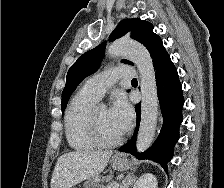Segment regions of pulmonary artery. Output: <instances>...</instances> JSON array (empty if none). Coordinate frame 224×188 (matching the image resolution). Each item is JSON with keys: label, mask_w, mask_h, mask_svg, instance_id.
<instances>
[{"label": "pulmonary artery", "mask_w": 224, "mask_h": 188, "mask_svg": "<svg viewBox=\"0 0 224 188\" xmlns=\"http://www.w3.org/2000/svg\"><path fill=\"white\" fill-rule=\"evenodd\" d=\"M134 77L135 70L132 67H112L88 79L83 85L82 90L96 99H100L117 80L132 79Z\"/></svg>", "instance_id": "e3ab8cb5"}]
</instances>
